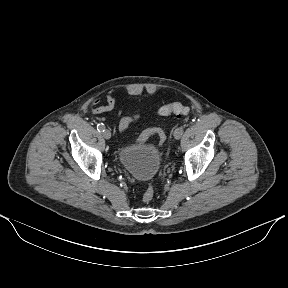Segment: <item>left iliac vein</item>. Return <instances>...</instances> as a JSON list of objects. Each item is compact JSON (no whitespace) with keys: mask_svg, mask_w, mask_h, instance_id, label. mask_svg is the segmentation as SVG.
I'll use <instances>...</instances> for the list:
<instances>
[{"mask_svg":"<svg viewBox=\"0 0 288 288\" xmlns=\"http://www.w3.org/2000/svg\"><path fill=\"white\" fill-rule=\"evenodd\" d=\"M183 134V130H180L179 127L175 129L174 131V138L180 139Z\"/></svg>","mask_w":288,"mask_h":288,"instance_id":"1","label":"left iliac vein"}]
</instances>
